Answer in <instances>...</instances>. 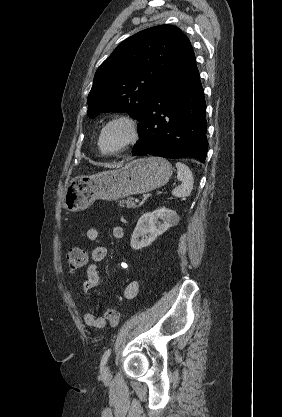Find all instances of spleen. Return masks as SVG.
<instances>
[{"label":"spleen","instance_id":"3e777b00","mask_svg":"<svg viewBox=\"0 0 282 417\" xmlns=\"http://www.w3.org/2000/svg\"><path fill=\"white\" fill-rule=\"evenodd\" d=\"M176 168L177 178L181 180V184L173 188L172 194L178 196V198H181V196H189L194 184L192 172L183 162H176Z\"/></svg>","mask_w":282,"mask_h":417}]
</instances>
